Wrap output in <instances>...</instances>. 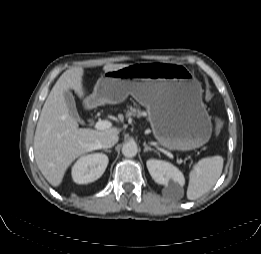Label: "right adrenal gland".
<instances>
[{
    "instance_id": "right-adrenal-gland-1",
    "label": "right adrenal gland",
    "mask_w": 261,
    "mask_h": 254,
    "mask_svg": "<svg viewBox=\"0 0 261 254\" xmlns=\"http://www.w3.org/2000/svg\"><path fill=\"white\" fill-rule=\"evenodd\" d=\"M103 151H105V152H107V153H111L112 150L106 148V149H103Z\"/></svg>"
}]
</instances>
